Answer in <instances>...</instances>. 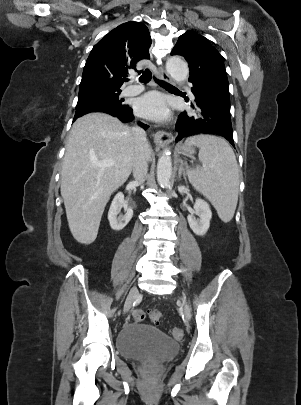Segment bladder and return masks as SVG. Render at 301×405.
<instances>
[{
  "label": "bladder",
  "instance_id": "1",
  "mask_svg": "<svg viewBox=\"0 0 301 405\" xmlns=\"http://www.w3.org/2000/svg\"><path fill=\"white\" fill-rule=\"evenodd\" d=\"M116 347L121 356L129 359L153 358L164 362L178 352L179 346L157 328L134 323L118 334Z\"/></svg>",
  "mask_w": 301,
  "mask_h": 405
}]
</instances>
